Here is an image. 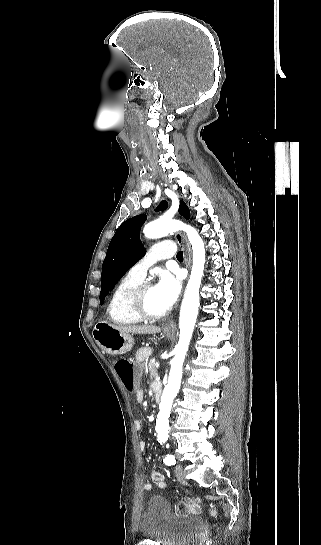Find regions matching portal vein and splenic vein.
<instances>
[{"instance_id": "1", "label": "portal vein and splenic vein", "mask_w": 321, "mask_h": 545, "mask_svg": "<svg viewBox=\"0 0 321 545\" xmlns=\"http://www.w3.org/2000/svg\"><path fill=\"white\" fill-rule=\"evenodd\" d=\"M158 364H159V361H156L155 368H160V365H158Z\"/></svg>"}]
</instances>
